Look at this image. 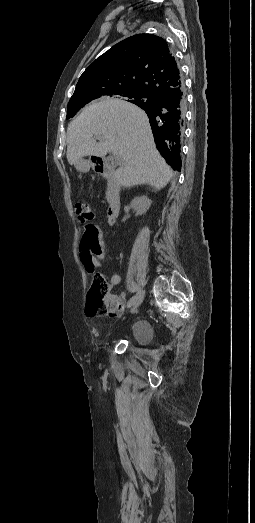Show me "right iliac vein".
<instances>
[{
  "label": "right iliac vein",
  "instance_id": "63e3f726",
  "mask_svg": "<svg viewBox=\"0 0 255 523\" xmlns=\"http://www.w3.org/2000/svg\"><path fill=\"white\" fill-rule=\"evenodd\" d=\"M144 295H145V292H144L143 290L140 291V292L136 295V297H135V299H134V302H133L132 305H131V311H134V310H136V309L139 307V305L142 303V301H143V299H144Z\"/></svg>",
  "mask_w": 255,
  "mask_h": 523
}]
</instances>
